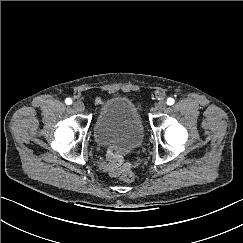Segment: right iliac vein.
I'll return each instance as SVG.
<instances>
[{
	"label": "right iliac vein",
	"instance_id": "1",
	"mask_svg": "<svg viewBox=\"0 0 243 243\" xmlns=\"http://www.w3.org/2000/svg\"><path fill=\"white\" fill-rule=\"evenodd\" d=\"M73 108L78 112H83L85 107L81 101H75L73 103Z\"/></svg>",
	"mask_w": 243,
	"mask_h": 243
}]
</instances>
